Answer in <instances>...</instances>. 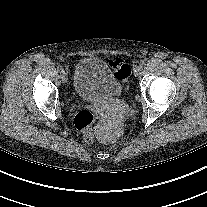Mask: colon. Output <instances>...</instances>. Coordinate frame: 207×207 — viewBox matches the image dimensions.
Segmentation results:
<instances>
[{"mask_svg": "<svg viewBox=\"0 0 207 207\" xmlns=\"http://www.w3.org/2000/svg\"><path fill=\"white\" fill-rule=\"evenodd\" d=\"M111 67L119 80L125 83L131 74L129 65L121 60H115L111 63ZM94 121V114L87 109L79 111L74 119L76 128L83 133L84 140L88 143H93L95 141V135L92 129Z\"/></svg>", "mask_w": 207, "mask_h": 207, "instance_id": "5ec220e1", "label": "colon"}]
</instances>
